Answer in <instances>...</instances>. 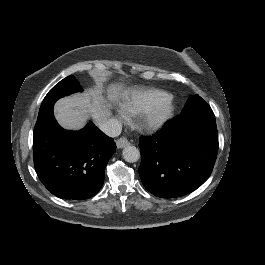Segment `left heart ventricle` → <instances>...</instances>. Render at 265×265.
Masks as SVG:
<instances>
[{"instance_id": "obj_1", "label": "left heart ventricle", "mask_w": 265, "mask_h": 265, "mask_svg": "<svg viewBox=\"0 0 265 265\" xmlns=\"http://www.w3.org/2000/svg\"><path fill=\"white\" fill-rule=\"evenodd\" d=\"M166 104V98L160 97L158 99V107H163Z\"/></svg>"}]
</instances>
